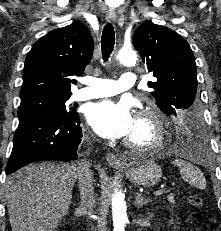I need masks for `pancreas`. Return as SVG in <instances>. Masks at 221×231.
<instances>
[{
	"label": "pancreas",
	"mask_w": 221,
	"mask_h": 231,
	"mask_svg": "<svg viewBox=\"0 0 221 231\" xmlns=\"http://www.w3.org/2000/svg\"><path fill=\"white\" fill-rule=\"evenodd\" d=\"M167 200H168L171 204H174V203H175L174 194L168 195V196H167Z\"/></svg>",
	"instance_id": "obj_1"
}]
</instances>
